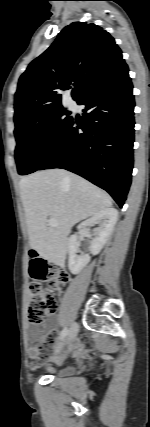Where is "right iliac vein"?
I'll use <instances>...</instances> for the list:
<instances>
[{
	"label": "right iliac vein",
	"instance_id": "obj_1",
	"mask_svg": "<svg viewBox=\"0 0 150 427\" xmlns=\"http://www.w3.org/2000/svg\"><path fill=\"white\" fill-rule=\"evenodd\" d=\"M78 330H79L78 324L77 323H73L72 326H71V328H70V330H69L67 340L68 341L73 340L77 336Z\"/></svg>",
	"mask_w": 150,
	"mask_h": 427
}]
</instances>
